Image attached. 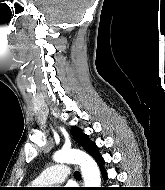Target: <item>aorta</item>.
Segmentation results:
<instances>
[{"label":"aorta","instance_id":"762f6f07","mask_svg":"<svg viewBox=\"0 0 165 190\" xmlns=\"http://www.w3.org/2000/svg\"><path fill=\"white\" fill-rule=\"evenodd\" d=\"M53 159L58 163H76L81 167L85 187H100V171L96 162L85 152L79 150L57 151Z\"/></svg>","mask_w":165,"mask_h":190}]
</instances>
